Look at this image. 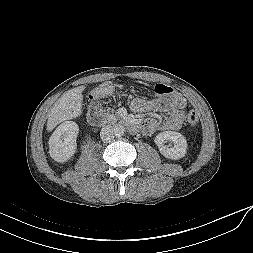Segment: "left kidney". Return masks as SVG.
<instances>
[{"instance_id":"obj_1","label":"left kidney","mask_w":253,"mask_h":253,"mask_svg":"<svg viewBox=\"0 0 253 253\" xmlns=\"http://www.w3.org/2000/svg\"><path fill=\"white\" fill-rule=\"evenodd\" d=\"M154 142L160 153L168 159L178 160L186 154L187 142L181 133L174 131L161 132L155 137ZM166 142L173 143V146L166 145Z\"/></svg>"}]
</instances>
